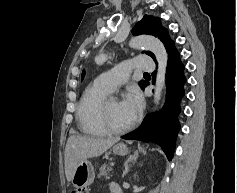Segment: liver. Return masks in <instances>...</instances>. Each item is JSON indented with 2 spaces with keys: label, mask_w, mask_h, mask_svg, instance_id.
Returning <instances> with one entry per match:
<instances>
[{
  "label": "liver",
  "mask_w": 237,
  "mask_h": 193,
  "mask_svg": "<svg viewBox=\"0 0 237 193\" xmlns=\"http://www.w3.org/2000/svg\"><path fill=\"white\" fill-rule=\"evenodd\" d=\"M119 138H93L89 136L71 135L65 147V175L68 182L72 180L77 165L87 160L102 155Z\"/></svg>",
  "instance_id": "1"
}]
</instances>
